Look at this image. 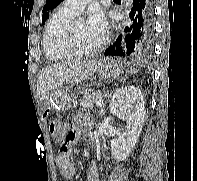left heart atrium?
Here are the masks:
<instances>
[{
    "label": "left heart atrium",
    "mask_w": 197,
    "mask_h": 181,
    "mask_svg": "<svg viewBox=\"0 0 197 181\" xmlns=\"http://www.w3.org/2000/svg\"><path fill=\"white\" fill-rule=\"evenodd\" d=\"M89 26L100 36H104L107 28L106 19L104 14L100 9L92 10L89 19H88Z\"/></svg>",
    "instance_id": "obj_1"
}]
</instances>
